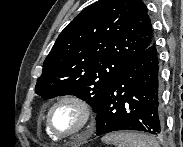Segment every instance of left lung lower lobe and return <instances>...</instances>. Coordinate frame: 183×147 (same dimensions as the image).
I'll return each instance as SVG.
<instances>
[{
  "label": "left lung lower lobe",
  "instance_id": "obj_1",
  "mask_svg": "<svg viewBox=\"0 0 183 147\" xmlns=\"http://www.w3.org/2000/svg\"><path fill=\"white\" fill-rule=\"evenodd\" d=\"M95 113L97 135L118 130L163 132L158 56L153 43L121 70Z\"/></svg>",
  "mask_w": 183,
  "mask_h": 147
}]
</instances>
